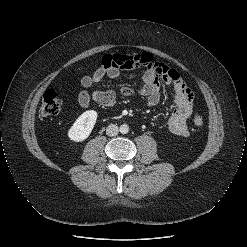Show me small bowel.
<instances>
[{
	"instance_id": "obj_1",
	"label": "small bowel",
	"mask_w": 247,
	"mask_h": 247,
	"mask_svg": "<svg viewBox=\"0 0 247 247\" xmlns=\"http://www.w3.org/2000/svg\"><path fill=\"white\" fill-rule=\"evenodd\" d=\"M138 67L145 68V72L141 76L138 92L147 98L149 107L157 105L160 101L161 80L174 87L175 109L167 121V127L178 136H188L187 123L192 113L193 92L175 69L164 63L154 61L152 55L148 52L105 55L101 66L93 75L84 76L81 79V84L84 88L90 89L94 84L103 81L106 77L117 79L122 71ZM120 93L124 96H132L135 90L129 86H122ZM91 100L99 105L110 107L115 104L117 93L114 90H93L91 92L82 91L78 96V103L83 108H87Z\"/></svg>"
}]
</instances>
